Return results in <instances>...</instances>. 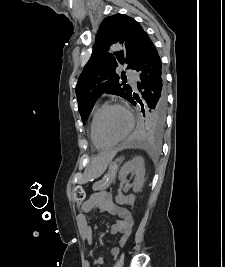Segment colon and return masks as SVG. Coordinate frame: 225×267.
<instances>
[{"label":"colon","mask_w":225,"mask_h":267,"mask_svg":"<svg viewBox=\"0 0 225 267\" xmlns=\"http://www.w3.org/2000/svg\"><path fill=\"white\" fill-rule=\"evenodd\" d=\"M85 199L84 189L80 186H76L73 190V200L77 206H80Z\"/></svg>","instance_id":"1"}]
</instances>
